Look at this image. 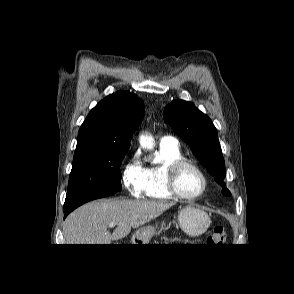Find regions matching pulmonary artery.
I'll return each mask as SVG.
<instances>
[{
  "label": "pulmonary artery",
  "instance_id": "obj_1",
  "mask_svg": "<svg viewBox=\"0 0 294 294\" xmlns=\"http://www.w3.org/2000/svg\"><path fill=\"white\" fill-rule=\"evenodd\" d=\"M160 145L161 146H169V147H177L178 142L176 138L172 136H164L160 139Z\"/></svg>",
  "mask_w": 294,
  "mask_h": 294
}]
</instances>
